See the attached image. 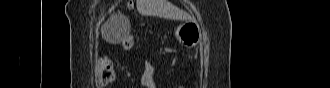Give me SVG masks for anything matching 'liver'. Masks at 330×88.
I'll return each instance as SVG.
<instances>
[{
	"mask_svg": "<svg viewBox=\"0 0 330 88\" xmlns=\"http://www.w3.org/2000/svg\"><path fill=\"white\" fill-rule=\"evenodd\" d=\"M137 10L142 15H153L171 19H190L189 15L178 12L167 0H137ZM114 42L113 40H110Z\"/></svg>",
	"mask_w": 330,
	"mask_h": 88,
	"instance_id": "6515ba94",
	"label": "liver"
}]
</instances>
